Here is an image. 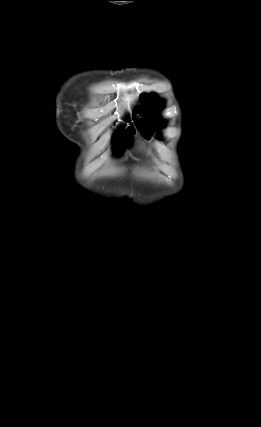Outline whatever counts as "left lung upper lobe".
I'll return each instance as SVG.
<instances>
[{
  "label": "left lung upper lobe",
  "instance_id": "left-lung-upper-lobe-1",
  "mask_svg": "<svg viewBox=\"0 0 261 427\" xmlns=\"http://www.w3.org/2000/svg\"><path fill=\"white\" fill-rule=\"evenodd\" d=\"M142 103L144 104V107L138 108V113L143 115L144 121L138 123L139 130L144 129L142 134H145V132L149 131L150 133H153L154 130L157 132V129L155 128H145V122L149 121L150 123L154 124L155 126H163L164 122L160 120V117L157 114V111L161 109L163 106V102L159 101L155 94L147 95H141L140 97ZM156 110V111H155Z\"/></svg>",
  "mask_w": 261,
  "mask_h": 427
}]
</instances>
